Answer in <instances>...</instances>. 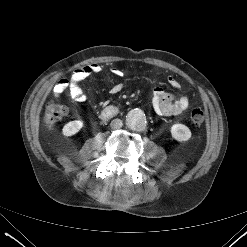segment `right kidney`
<instances>
[{"mask_svg":"<svg viewBox=\"0 0 247 247\" xmlns=\"http://www.w3.org/2000/svg\"><path fill=\"white\" fill-rule=\"evenodd\" d=\"M82 127H83V122L80 120L68 122L67 124L64 125L62 129V134L67 137L73 136L77 134Z\"/></svg>","mask_w":247,"mask_h":247,"instance_id":"ca27d5eb","label":"right kidney"}]
</instances>
